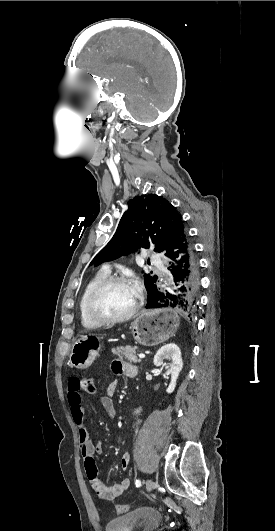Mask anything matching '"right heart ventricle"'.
Returning a JSON list of instances; mask_svg holds the SVG:
<instances>
[{
	"label": "right heart ventricle",
	"instance_id": "right-heart-ventricle-1",
	"mask_svg": "<svg viewBox=\"0 0 275 531\" xmlns=\"http://www.w3.org/2000/svg\"><path fill=\"white\" fill-rule=\"evenodd\" d=\"M108 275L107 272L105 271H101L99 272L98 274H96L92 279L91 281L86 285V287L84 288L83 290V293L81 295V298L79 300V305H78V308H79V315H80V320H81V323L84 327L86 328H89V329H95L97 327H99L100 325L91 321L89 318H87V316L85 315V311H84V304H85V300H86V297L87 295L89 294V292L91 291V289L100 281L102 280L104 277H106Z\"/></svg>",
	"mask_w": 275,
	"mask_h": 531
}]
</instances>
